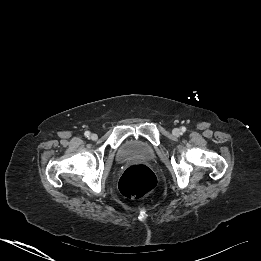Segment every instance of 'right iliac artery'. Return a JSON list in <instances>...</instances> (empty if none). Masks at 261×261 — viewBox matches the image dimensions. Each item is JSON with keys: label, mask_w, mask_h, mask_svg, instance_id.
Wrapping results in <instances>:
<instances>
[{"label": "right iliac artery", "mask_w": 261, "mask_h": 261, "mask_svg": "<svg viewBox=\"0 0 261 261\" xmlns=\"http://www.w3.org/2000/svg\"><path fill=\"white\" fill-rule=\"evenodd\" d=\"M84 135H85L86 137H89V136H90V132H89V131H86V132L84 133Z\"/></svg>", "instance_id": "82829eb1"}]
</instances>
